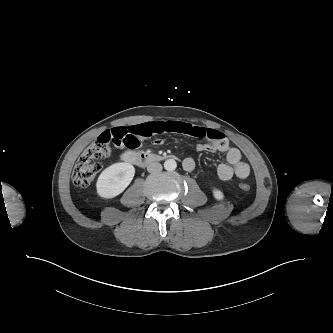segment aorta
<instances>
[{
	"label": "aorta",
	"instance_id": "aorta-1",
	"mask_svg": "<svg viewBox=\"0 0 333 333\" xmlns=\"http://www.w3.org/2000/svg\"><path fill=\"white\" fill-rule=\"evenodd\" d=\"M177 167V163L174 159H168L164 162V168L167 171H173Z\"/></svg>",
	"mask_w": 333,
	"mask_h": 333
}]
</instances>
